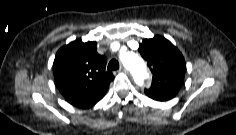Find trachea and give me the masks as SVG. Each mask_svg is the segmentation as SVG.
<instances>
[{
	"instance_id": "3493384b",
	"label": "trachea",
	"mask_w": 236,
	"mask_h": 135,
	"mask_svg": "<svg viewBox=\"0 0 236 135\" xmlns=\"http://www.w3.org/2000/svg\"><path fill=\"white\" fill-rule=\"evenodd\" d=\"M108 69L110 71L118 70L119 69V62L115 59L111 60L108 64Z\"/></svg>"
}]
</instances>
